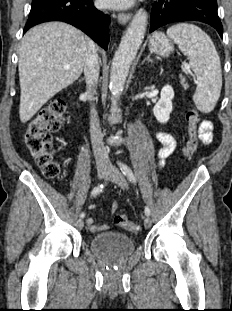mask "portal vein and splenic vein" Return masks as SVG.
<instances>
[{
  "label": "portal vein and splenic vein",
  "instance_id": "obj_1",
  "mask_svg": "<svg viewBox=\"0 0 232 311\" xmlns=\"http://www.w3.org/2000/svg\"><path fill=\"white\" fill-rule=\"evenodd\" d=\"M64 68H65V69H69L70 66H69V65H65Z\"/></svg>",
  "mask_w": 232,
  "mask_h": 311
}]
</instances>
